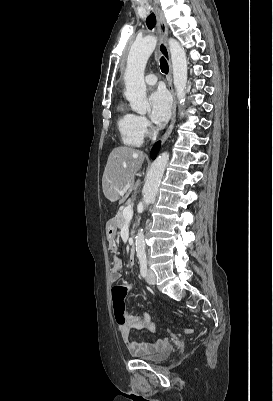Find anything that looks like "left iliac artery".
<instances>
[{
    "label": "left iliac artery",
    "mask_w": 273,
    "mask_h": 401,
    "mask_svg": "<svg viewBox=\"0 0 273 401\" xmlns=\"http://www.w3.org/2000/svg\"><path fill=\"white\" fill-rule=\"evenodd\" d=\"M140 273L143 277L147 274V259L146 257L140 258Z\"/></svg>",
    "instance_id": "44dca946"
}]
</instances>
